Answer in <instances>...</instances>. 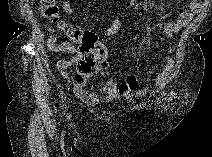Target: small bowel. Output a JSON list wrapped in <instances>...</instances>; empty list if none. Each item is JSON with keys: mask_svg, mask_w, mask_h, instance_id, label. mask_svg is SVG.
I'll return each mask as SVG.
<instances>
[{"mask_svg": "<svg viewBox=\"0 0 212 157\" xmlns=\"http://www.w3.org/2000/svg\"><path fill=\"white\" fill-rule=\"evenodd\" d=\"M201 5V1L199 0H189L187 8L182 10L174 21L165 24L163 31L168 40H173L175 35L191 22L194 15L199 12ZM62 9L67 16H73L75 14V9L69 0L63 1ZM46 27L51 32V36L47 40L50 51L72 55L71 59H61L57 62V69L60 75L64 78H69L68 68L81 59L82 52L77 46L69 42H58L56 30L49 25ZM120 29L121 22L118 19H112L103 29L102 34L105 36H112L117 34ZM171 52L172 48L170 47L165 57V66L163 70L153 80V84L156 87L166 85L175 71V64L171 57ZM73 89L80 99L90 105L111 101L117 97L130 98L146 92V88L139 87L138 78L133 74L126 76V78L119 83H116L111 77H108L104 81V92L102 94L88 92L83 86H79L75 83L73 84Z\"/></svg>", "mask_w": 212, "mask_h": 157, "instance_id": "c3829d8e", "label": "small bowel"}]
</instances>
